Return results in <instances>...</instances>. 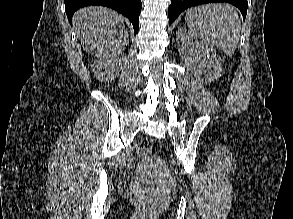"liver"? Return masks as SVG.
Wrapping results in <instances>:
<instances>
[{
    "mask_svg": "<svg viewBox=\"0 0 293 219\" xmlns=\"http://www.w3.org/2000/svg\"><path fill=\"white\" fill-rule=\"evenodd\" d=\"M73 20L84 51L97 57L120 53L128 44L124 19L111 9L85 7L75 13Z\"/></svg>",
    "mask_w": 293,
    "mask_h": 219,
    "instance_id": "1",
    "label": "liver"
}]
</instances>
